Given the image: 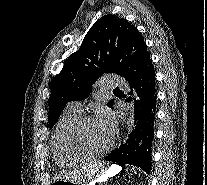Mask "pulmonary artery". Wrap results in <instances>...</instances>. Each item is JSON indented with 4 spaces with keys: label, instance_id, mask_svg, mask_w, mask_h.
Listing matches in <instances>:
<instances>
[{
    "label": "pulmonary artery",
    "instance_id": "obj_1",
    "mask_svg": "<svg viewBox=\"0 0 207 185\" xmlns=\"http://www.w3.org/2000/svg\"><path fill=\"white\" fill-rule=\"evenodd\" d=\"M102 86V91H113V86H124V81H121V77H104L103 81L99 82ZM68 112L80 113L81 104L79 102H72L67 106Z\"/></svg>",
    "mask_w": 207,
    "mask_h": 185
}]
</instances>
